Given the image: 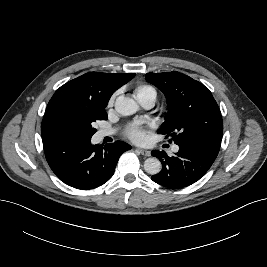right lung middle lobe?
<instances>
[{
  "instance_id": "dd1d6c3e",
  "label": "right lung middle lobe",
  "mask_w": 267,
  "mask_h": 267,
  "mask_svg": "<svg viewBox=\"0 0 267 267\" xmlns=\"http://www.w3.org/2000/svg\"><path fill=\"white\" fill-rule=\"evenodd\" d=\"M104 108L64 102L51 115L54 132L75 138H91L96 132L93 127L98 120H106Z\"/></svg>"
}]
</instances>
